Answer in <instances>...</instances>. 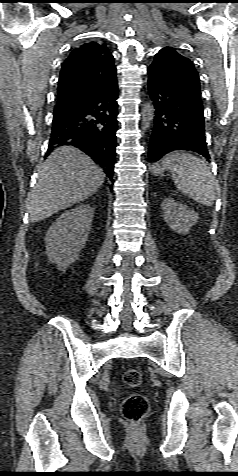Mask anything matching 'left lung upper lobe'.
<instances>
[{
  "label": "left lung upper lobe",
  "mask_w": 238,
  "mask_h": 476,
  "mask_svg": "<svg viewBox=\"0 0 238 476\" xmlns=\"http://www.w3.org/2000/svg\"><path fill=\"white\" fill-rule=\"evenodd\" d=\"M148 69L158 73L179 91L201 99L199 75L192 61L173 48L161 49Z\"/></svg>",
  "instance_id": "1"
}]
</instances>
